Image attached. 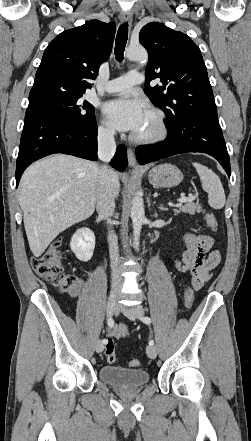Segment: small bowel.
<instances>
[{
  "mask_svg": "<svg viewBox=\"0 0 251 441\" xmlns=\"http://www.w3.org/2000/svg\"><path fill=\"white\" fill-rule=\"evenodd\" d=\"M184 243L185 249L181 257L175 261V267L179 272H190L191 286L198 290L210 279L212 271L220 263L221 255L219 251L212 249L213 239L208 235L187 233ZM81 288L82 281H79L67 292L71 297H76ZM109 334L116 338L124 337L129 334V329L126 325L119 324L112 327Z\"/></svg>",
  "mask_w": 251,
  "mask_h": 441,
  "instance_id": "small-bowel-1",
  "label": "small bowel"
}]
</instances>
